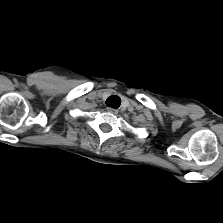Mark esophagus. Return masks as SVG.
<instances>
[{
	"label": "esophagus",
	"instance_id": "34e87169",
	"mask_svg": "<svg viewBox=\"0 0 223 223\" xmlns=\"http://www.w3.org/2000/svg\"><path fill=\"white\" fill-rule=\"evenodd\" d=\"M107 111L110 112V113H112V114H117L118 113V110L117 109L110 108V107L107 108Z\"/></svg>",
	"mask_w": 223,
	"mask_h": 223
}]
</instances>
